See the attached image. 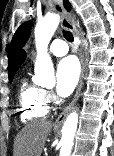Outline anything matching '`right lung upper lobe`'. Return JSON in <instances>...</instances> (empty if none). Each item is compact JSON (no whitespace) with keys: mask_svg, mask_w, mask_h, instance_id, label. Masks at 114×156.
<instances>
[{"mask_svg":"<svg viewBox=\"0 0 114 156\" xmlns=\"http://www.w3.org/2000/svg\"><path fill=\"white\" fill-rule=\"evenodd\" d=\"M64 6L67 10H69V6L66 2L64 3ZM25 58H26V53L24 50H21L16 56V58L14 59L13 63L9 66V71H8L9 77H14L18 68L25 61Z\"/></svg>","mask_w":114,"mask_h":156,"instance_id":"obj_1","label":"right lung upper lobe"}]
</instances>
